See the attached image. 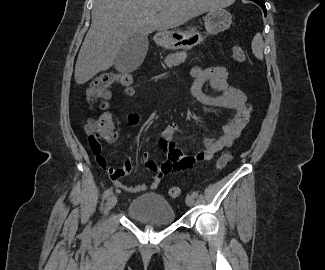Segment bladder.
<instances>
[{
    "instance_id": "1",
    "label": "bladder",
    "mask_w": 325,
    "mask_h": 270,
    "mask_svg": "<svg viewBox=\"0 0 325 270\" xmlns=\"http://www.w3.org/2000/svg\"><path fill=\"white\" fill-rule=\"evenodd\" d=\"M128 215L140 222L151 225H166L175 221L172 205L155 193L135 197L127 207Z\"/></svg>"
}]
</instances>
